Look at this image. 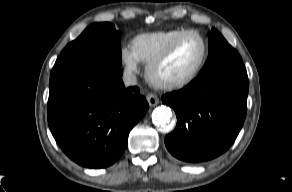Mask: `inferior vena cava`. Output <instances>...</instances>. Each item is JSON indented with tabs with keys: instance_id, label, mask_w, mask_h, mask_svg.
Segmentation results:
<instances>
[{
	"instance_id": "inferior-vena-cava-1",
	"label": "inferior vena cava",
	"mask_w": 292,
	"mask_h": 192,
	"mask_svg": "<svg viewBox=\"0 0 292 192\" xmlns=\"http://www.w3.org/2000/svg\"><path fill=\"white\" fill-rule=\"evenodd\" d=\"M123 82L125 86H133L137 83L136 75L132 72H124L123 74Z\"/></svg>"
}]
</instances>
